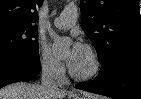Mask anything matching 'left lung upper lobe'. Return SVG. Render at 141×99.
Masks as SVG:
<instances>
[{"instance_id": "left-lung-upper-lobe-1", "label": "left lung upper lobe", "mask_w": 141, "mask_h": 99, "mask_svg": "<svg viewBox=\"0 0 141 99\" xmlns=\"http://www.w3.org/2000/svg\"><path fill=\"white\" fill-rule=\"evenodd\" d=\"M83 27L102 66L121 53H141L138 0H81Z\"/></svg>"}]
</instances>
